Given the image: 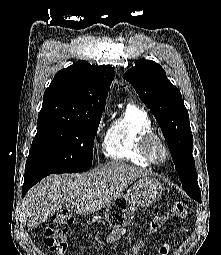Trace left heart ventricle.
I'll list each match as a JSON object with an SVG mask.
<instances>
[{"instance_id": "obj_1", "label": "left heart ventricle", "mask_w": 221, "mask_h": 255, "mask_svg": "<svg viewBox=\"0 0 221 255\" xmlns=\"http://www.w3.org/2000/svg\"><path fill=\"white\" fill-rule=\"evenodd\" d=\"M152 153H153L154 158L157 161H161L163 159V157H164L163 149H162V147L159 144H154L153 145Z\"/></svg>"}]
</instances>
